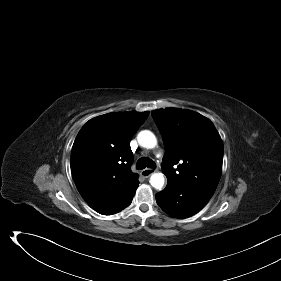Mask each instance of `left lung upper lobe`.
<instances>
[{
	"label": "left lung upper lobe",
	"mask_w": 281,
	"mask_h": 281,
	"mask_svg": "<svg viewBox=\"0 0 281 281\" xmlns=\"http://www.w3.org/2000/svg\"><path fill=\"white\" fill-rule=\"evenodd\" d=\"M152 117L164 142L162 169L168 183L213 195L222 173L223 142L212 121L177 108L153 111Z\"/></svg>",
	"instance_id": "obj_1"
}]
</instances>
